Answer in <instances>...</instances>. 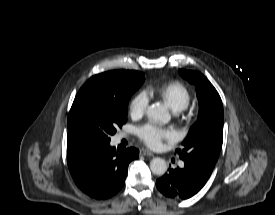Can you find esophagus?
I'll use <instances>...</instances> for the list:
<instances>
[{"mask_svg":"<svg viewBox=\"0 0 275 215\" xmlns=\"http://www.w3.org/2000/svg\"><path fill=\"white\" fill-rule=\"evenodd\" d=\"M140 154L143 156H153V153L145 148L140 149Z\"/></svg>","mask_w":275,"mask_h":215,"instance_id":"esophagus-1","label":"esophagus"}]
</instances>
